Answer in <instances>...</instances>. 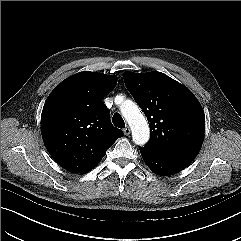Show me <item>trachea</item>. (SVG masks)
<instances>
[{"label": "trachea", "instance_id": "1", "mask_svg": "<svg viewBox=\"0 0 241 241\" xmlns=\"http://www.w3.org/2000/svg\"><path fill=\"white\" fill-rule=\"evenodd\" d=\"M113 124L118 128H124L125 122L119 113H115L112 118Z\"/></svg>", "mask_w": 241, "mask_h": 241}]
</instances>
